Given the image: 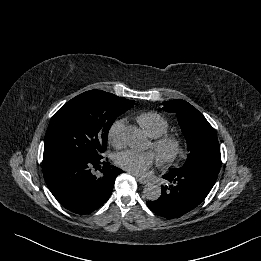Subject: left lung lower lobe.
<instances>
[{
	"mask_svg": "<svg viewBox=\"0 0 261 261\" xmlns=\"http://www.w3.org/2000/svg\"><path fill=\"white\" fill-rule=\"evenodd\" d=\"M218 173L201 167L173 169L163 175L170 185L161 186L162 195L148 201V208L167 219L176 218L196 208L211 191Z\"/></svg>",
	"mask_w": 261,
	"mask_h": 261,
	"instance_id": "left-lung-lower-lobe-1",
	"label": "left lung lower lobe"
}]
</instances>
